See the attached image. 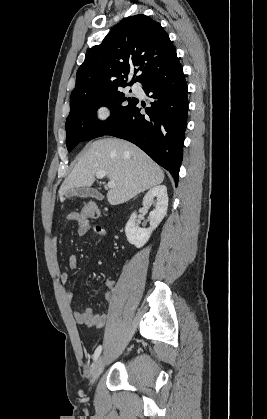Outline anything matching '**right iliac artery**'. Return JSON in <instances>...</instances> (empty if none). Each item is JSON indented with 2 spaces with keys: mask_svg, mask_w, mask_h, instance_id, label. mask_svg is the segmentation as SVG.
Returning <instances> with one entry per match:
<instances>
[{
  "mask_svg": "<svg viewBox=\"0 0 267 419\" xmlns=\"http://www.w3.org/2000/svg\"><path fill=\"white\" fill-rule=\"evenodd\" d=\"M101 350H102V346L100 345V346L97 347V349L94 352V355H93V360L94 361H96L97 358L99 357V355L101 353Z\"/></svg>",
  "mask_w": 267,
  "mask_h": 419,
  "instance_id": "82829eb1",
  "label": "right iliac artery"
}]
</instances>
